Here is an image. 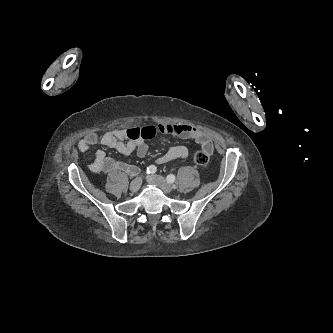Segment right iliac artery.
Segmentation results:
<instances>
[{"instance_id":"1","label":"right iliac artery","mask_w":333,"mask_h":333,"mask_svg":"<svg viewBox=\"0 0 333 333\" xmlns=\"http://www.w3.org/2000/svg\"><path fill=\"white\" fill-rule=\"evenodd\" d=\"M156 171H157V168H156L154 165H150V166L147 168V173H148V174H154Z\"/></svg>"}]
</instances>
